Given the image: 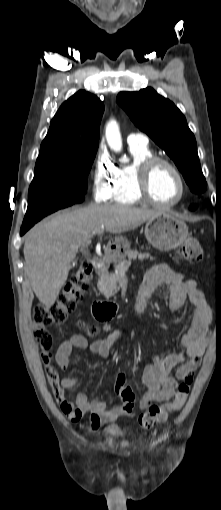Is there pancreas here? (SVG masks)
<instances>
[{"mask_svg": "<svg viewBox=\"0 0 221 510\" xmlns=\"http://www.w3.org/2000/svg\"><path fill=\"white\" fill-rule=\"evenodd\" d=\"M127 257L128 260L122 259L118 262V264H115V273H107L99 276L98 288L100 292L103 293L106 297L112 296L113 293L117 290V283L120 280V274L124 273L128 269L132 260H136L137 258L141 261L148 258L153 260L149 253H141L137 250L129 251L127 253Z\"/></svg>", "mask_w": 221, "mask_h": 510, "instance_id": "obj_1", "label": "pancreas"}]
</instances>
